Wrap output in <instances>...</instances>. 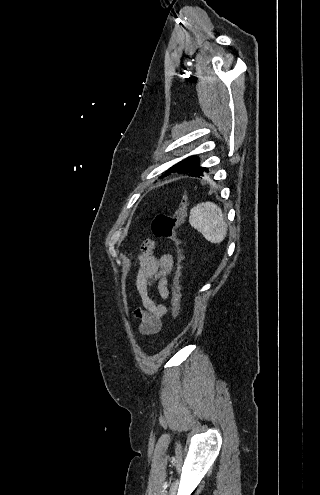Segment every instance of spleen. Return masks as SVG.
Wrapping results in <instances>:
<instances>
[{
    "label": "spleen",
    "mask_w": 320,
    "mask_h": 495,
    "mask_svg": "<svg viewBox=\"0 0 320 495\" xmlns=\"http://www.w3.org/2000/svg\"><path fill=\"white\" fill-rule=\"evenodd\" d=\"M189 222L211 243H221L227 235V224L221 208L213 202L197 204L190 212Z\"/></svg>",
    "instance_id": "1"
}]
</instances>
